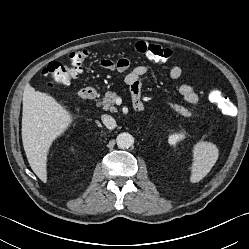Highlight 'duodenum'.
I'll return each instance as SVG.
<instances>
[{"label": "duodenum", "instance_id": "obj_1", "mask_svg": "<svg viewBox=\"0 0 249 249\" xmlns=\"http://www.w3.org/2000/svg\"><path fill=\"white\" fill-rule=\"evenodd\" d=\"M79 95L83 100H92L97 97V91L93 87H85L80 91ZM133 105L137 111L144 109V105L140 99H135Z\"/></svg>", "mask_w": 249, "mask_h": 249}]
</instances>
